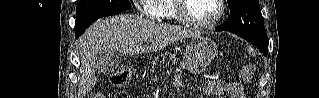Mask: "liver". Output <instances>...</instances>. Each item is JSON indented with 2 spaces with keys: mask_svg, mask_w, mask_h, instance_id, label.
<instances>
[{
  "mask_svg": "<svg viewBox=\"0 0 319 98\" xmlns=\"http://www.w3.org/2000/svg\"><path fill=\"white\" fill-rule=\"evenodd\" d=\"M197 35H200L199 31L167 24H156L151 20L132 14L102 18L96 21L79 40L81 60L79 98H83L90 92L98 81L93 61L99 52L111 50L123 55L154 52L176 40ZM144 41H150L151 44L143 46Z\"/></svg>",
  "mask_w": 319,
  "mask_h": 98,
  "instance_id": "6515ba94",
  "label": "liver"
}]
</instances>
